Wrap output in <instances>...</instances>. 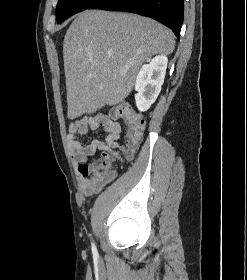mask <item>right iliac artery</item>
Returning a JSON list of instances; mask_svg holds the SVG:
<instances>
[{
	"label": "right iliac artery",
	"instance_id": "1",
	"mask_svg": "<svg viewBox=\"0 0 247 280\" xmlns=\"http://www.w3.org/2000/svg\"><path fill=\"white\" fill-rule=\"evenodd\" d=\"M92 252H93V254L97 253V250H96V247H95L94 243H92Z\"/></svg>",
	"mask_w": 247,
	"mask_h": 280
}]
</instances>
